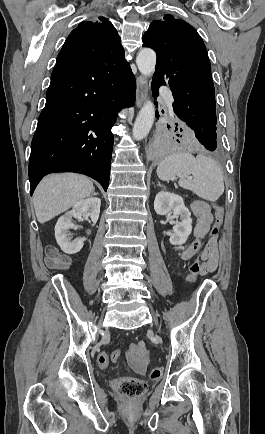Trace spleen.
Returning <instances> with one entry per match:
<instances>
[{"label":"spleen","mask_w":265,"mask_h":434,"mask_svg":"<svg viewBox=\"0 0 265 434\" xmlns=\"http://www.w3.org/2000/svg\"><path fill=\"white\" fill-rule=\"evenodd\" d=\"M158 178L168 182L180 178L178 184L185 190H191L199 198L216 202L224 192L223 172L215 160L198 154L196 158L190 152H175L164 158L156 170ZM193 180H185L188 176Z\"/></svg>","instance_id":"spleen-1"}]
</instances>
